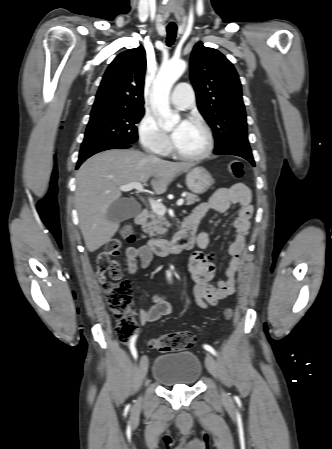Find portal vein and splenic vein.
Returning a JSON list of instances; mask_svg holds the SVG:
<instances>
[{
  "label": "portal vein and splenic vein",
  "mask_w": 332,
  "mask_h": 449,
  "mask_svg": "<svg viewBox=\"0 0 332 449\" xmlns=\"http://www.w3.org/2000/svg\"><path fill=\"white\" fill-rule=\"evenodd\" d=\"M119 189L121 191H131L133 189L137 190L138 192H144L145 191L144 187H143V184L140 183V182H132V183H129V184H126V185H122V186L119 187ZM149 203H150V206H151L152 210L155 213H157L159 215H163L166 212V208H165V206L162 203H159V202L155 201L152 198H149ZM183 203H184V199L183 198H180L177 201V205L178 206L183 205Z\"/></svg>",
  "instance_id": "obj_1"
}]
</instances>
